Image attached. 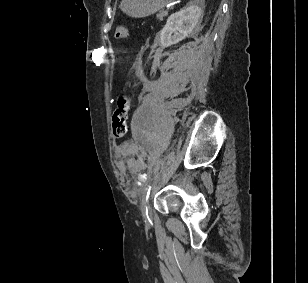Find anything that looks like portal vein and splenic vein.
Returning <instances> with one entry per match:
<instances>
[{
    "label": "portal vein and splenic vein",
    "mask_w": 308,
    "mask_h": 283,
    "mask_svg": "<svg viewBox=\"0 0 308 283\" xmlns=\"http://www.w3.org/2000/svg\"><path fill=\"white\" fill-rule=\"evenodd\" d=\"M173 6H174V4H172V5H170V6H167V9H168V10H171V9H173Z\"/></svg>",
    "instance_id": "18ae733b"
}]
</instances>
